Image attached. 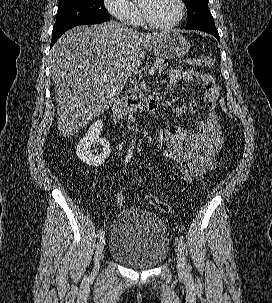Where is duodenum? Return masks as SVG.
Wrapping results in <instances>:
<instances>
[{
    "mask_svg": "<svg viewBox=\"0 0 272 303\" xmlns=\"http://www.w3.org/2000/svg\"><path fill=\"white\" fill-rule=\"evenodd\" d=\"M164 102V96L159 95L152 98L143 99L136 104H132L126 101H117L113 105V111L118 117L126 115L133 109H141L145 111H156Z\"/></svg>",
    "mask_w": 272,
    "mask_h": 303,
    "instance_id": "410a0bca",
    "label": "duodenum"
}]
</instances>
